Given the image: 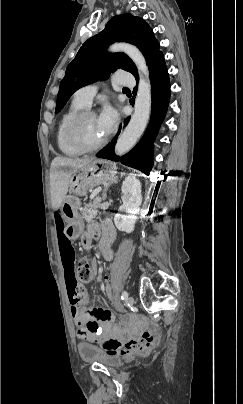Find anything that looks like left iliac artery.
<instances>
[{"label":"left iliac artery","mask_w":243,"mask_h":404,"mask_svg":"<svg viewBox=\"0 0 243 404\" xmlns=\"http://www.w3.org/2000/svg\"><path fill=\"white\" fill-rule=\"evenodd\" d=\"M127 298H128V292H127V291H123V292H122L121 299H122V300H126Z\"/></svg>","instance_id":"left-iliac-artery-1"}]
</instances>
